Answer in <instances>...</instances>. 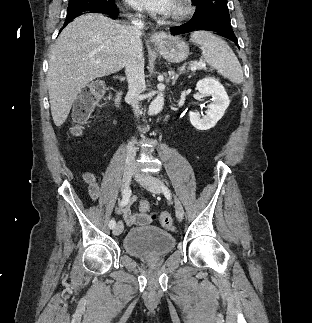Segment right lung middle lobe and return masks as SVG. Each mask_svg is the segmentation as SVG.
Listing matches in <instances>:
<instances>
[{"label":"right lung middle lobe","instance_id":"1","mask_svg":"<svg viewBox=\"0 0 312 323\" xmlns=\"http://www.w3.org/2000/svg\"><path fill=\"white\" fill-rule=\"evenodd\" d=\"M114 0H69L67 8V16L76 14L77 12L97 8H115Z\"/></svg>","mask_w":312,"mask_h":323}]
</instances>
